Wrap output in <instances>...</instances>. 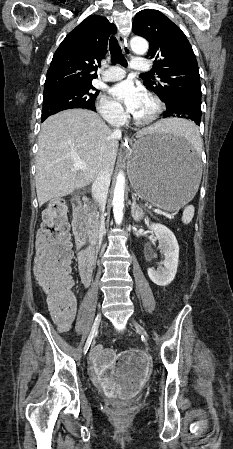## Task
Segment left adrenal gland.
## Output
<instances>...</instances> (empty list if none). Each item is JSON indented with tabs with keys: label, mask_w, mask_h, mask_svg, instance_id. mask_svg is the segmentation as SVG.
Segmentation results:
<instances>
[{
	"label": "left adrenal gland",
	"mask_w": 233,
	"mask_h": 449,
	"mask_svg": "<svg viewBox=\"0 0 233 449\" xmlns=\"http://www.w3.org/2000/svg\"><path fill=\"white\" fill-rule=\"evenodd\" d=\"M132 205H131V216L136 222H140V220L144 216L143 208L139 204L136 203V198L132 195Z\"/></svg>",
	"instance_id": "obj_1"
}]
</instances>
